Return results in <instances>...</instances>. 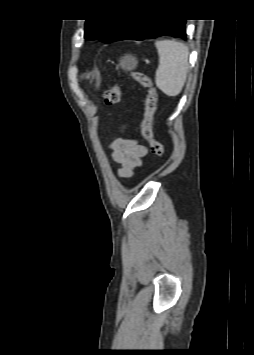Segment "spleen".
Wrapping results in <instances>:
<instances>
[{
    "label": "spleen",
    "instance_id": "3e777b00",
    "mask_svg": "<svg viewBox=\"0 0 254 355\" xmlns=\"http://www.w3.org/2000/svg\"><path fill=\"white\" fill-rule=\"evenodd\" d=\"M155 45L159 55L156 86L168 96H177L185 85L189 69L188 47L174 40L156 41Z\"/></svg>",
    "mask_w": 254,
    "mask_h": 355
}]
</instances>
